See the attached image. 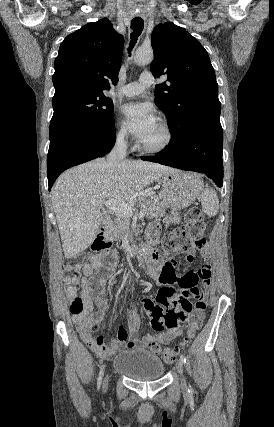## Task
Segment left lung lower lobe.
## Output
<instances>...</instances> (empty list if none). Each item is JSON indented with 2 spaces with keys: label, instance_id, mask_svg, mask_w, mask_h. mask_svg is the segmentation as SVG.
Returning a JSON list of instances; mask_svg holds the SVG:
<instances>
[{
  "label": "left lung lower lobe",
  "instance_id": "obj_1",
  "mask_svg": "<svg viewBox=\"0 0 274 427\" xmlns=\"http://www.w3.org/2000/svg\"><path fill=\"white\" fill-rule=\"evenodd\" d=\"M223 132L218 122H200L181 136L172 140L160 155L142 156L145 161L183 170L204 173L218 187L223 182L222 163Z\"/></svg>",
  "mask_w": 274,
  "mask_h": 427
}]
</instances>
